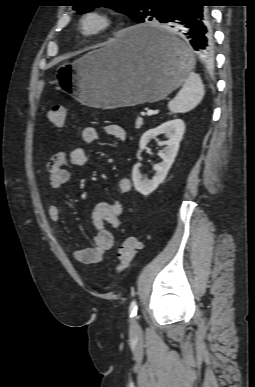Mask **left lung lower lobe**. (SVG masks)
Masks as SVG:
<instances>
[{
    "mask_svg": "<svg viewBox=\"0 0 255 387\" xmlns=\"http://www.w3.org/2000/svg\"><path fill=\"white\" fill-rule=\"evenodd\" d=\"M212 3L210 0L171 2L161 20V23L173 22L180 25V32L188 39L196 53L207 61L213 58V36L210 15L206 8ZM143 38L169 55H178L180 52L178 45L164 30L145 32Z\"/></svg>",
    "mask_w": 255,
    "mask_h": 387,
    "instance_id": "1",
    "label": "left lung lower lobe"
}]
</instances>
